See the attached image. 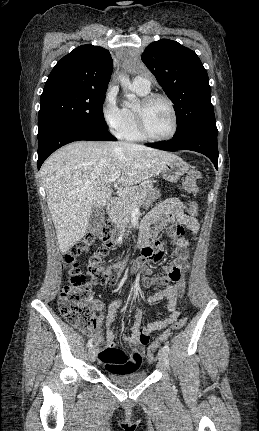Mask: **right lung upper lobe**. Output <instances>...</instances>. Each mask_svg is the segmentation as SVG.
<instances>
[{
	"instance_id": "1",
	"label": "right lung upper lobe",
	"mask_w": 259,
	"mask_h": 431,
	"mask_svg": "<svg viewBox=\"0 0 259 431\" xmlns=\"http://www.w3.org/2000/svg\"><path fill=\"white\" fill-rule=\"evenodd\" d=\"M113 70L108 50L82 45L64 56L48 76L44 91L56 87L106 91ZM43 91V92H44Z\"/></svg>"
}]
</instances>
